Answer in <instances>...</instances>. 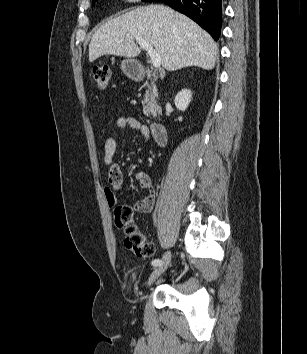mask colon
Segmentation results:
<instances>
[{"instance_id":"obj_1","label":"colon","mask_w":307,"mask_h":354,"mask_svg":"<svg viewBox=\"0 0 307 354\" xmlns=\"http://www.w3.org/2000/svg\"><path fill=\"white\" fill-rule=\"evenodd\" d=\"M94 80L100 89L106 88L110 79L108 66H95L92 70ZM115 225L125 233V246L138 257L149 258L155 252L154 245L142 234L134 221L133 208L129 205H120L114 209Z\"/></svg>"}]
</instances>
